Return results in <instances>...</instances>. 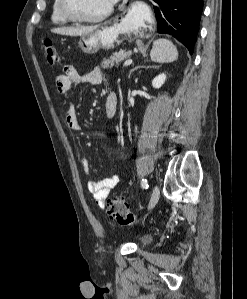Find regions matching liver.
Returning <instances> with one entry per match:
<instances>
[{"mask_svg":"<svg viewBox=\"0 0 247 299\" xmlns=\"http://www.w3.org/2000/svg\"><path fill=\"white\" fill-rule=\"evenodd\" d=\"M98 28V25L94 26H77V27H59L54 28L51 32L66 35V36H83L92 33Z\"/></svg>","mask_w":247,"mask_h":299,"instance_id":"1","label":"liver"}]
</instances>
